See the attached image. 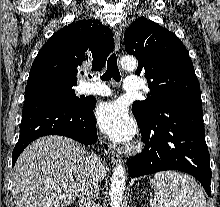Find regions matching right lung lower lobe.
<instances>
[{"label": "right lung lower lobe", "mask_w": 220, "mask_h": 207, "mask_svg": "<svg viewBox=\"0 0 220 207\" xmlns=\"http://www.w3.org/2000/svg\"><path fill=\"white\" fill-rule=\"evenodd\" d=\"M94 106V100L87 99L81 105H74L54 88L27 84L19 140L12 153V166L24 148L42 136L62 135L86 145L94 144L97 140Z\"/></svg>", "instance_id": "right-lung-lower-lobe-1"}]
</instances>
